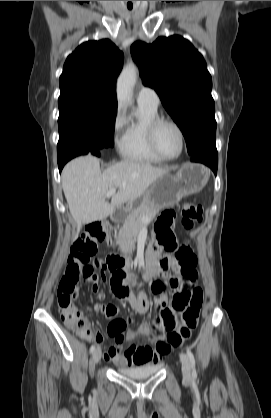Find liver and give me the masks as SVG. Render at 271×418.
<instances>
[{
    "mask_svg": "<svg viewBox=\"0 0 271 418\" xmlns=\"http://www.w3.org/2000/svg\"><path fill=\"white\" fill-rule=\"evenodd\" d=\"M168 172L167 168L130 160L101 171L99 159L92 155L70 161L62 171V188L77 226L73 241L78 238L83 224L105 219L124 203L134 202ZM111 188L119 190L109 203L106 193Z\"/></svg>",
    "mask_w": 271,
    "mask_h": 418,
    "instance_id": "obj_1",
    "label": "liver"
}]
</instances>
